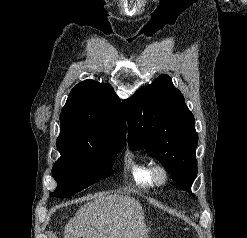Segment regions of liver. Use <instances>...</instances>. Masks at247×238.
<instances>
[{
    "label": "liver",
    "instance_id": "obj_1",
    "mask_svg": "<svg viewBox=\"0 0 247 238\" xmlns=\"http://www.w3.org/2000/svg\"><path fill=\"white\" fill-rule=\"evenodd\" d=\"M147 238L142 206L121 195H98L65 227L64 238Z\"/></svg>",
    "mask_w": 247,
    "mask_h": 238
}]
</instances>
